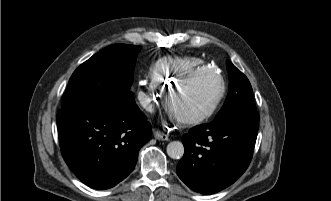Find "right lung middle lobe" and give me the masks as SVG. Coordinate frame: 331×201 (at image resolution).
Segmentation results:
<instances>
[{"mask_svg":"<svg viewBox=\"0 0 331 201\" xmlns=\"http://www.w3.org/2000/svg\"><path fill=\"white\" fill-rule=\"evenodd\" d=\"M140 49L135 45H110L81 64L69 80L62 109L99 96L129 91Z\"/></svg>","mask_w":331,"mask_h":201,"instance_id":"obj_1","label":"right lung middle lobe"}]
</instances>
